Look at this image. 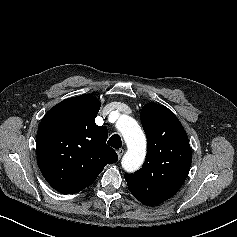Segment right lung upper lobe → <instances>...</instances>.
Instances as JSON below:
<instances>
[{
  "mask_svg": "<svg viewBox=\"0 0 237 237\" xmlns=\"http://www.w3.org/2000/svg\"><path fill=\"white\" fill-rule=\"evenodd\" d=\"M100 101L88 94L63 100L41 120L36 151L41 173L62 194L90 186L108 163L118 160L106 145L108 131L97 126Z\"/></svg>",
  "mask_w": 237,
  "mask_h": 237,
  "instance_id": "cb5924a9",
  "label": "right lung upper lobe"
}]
</instances>
